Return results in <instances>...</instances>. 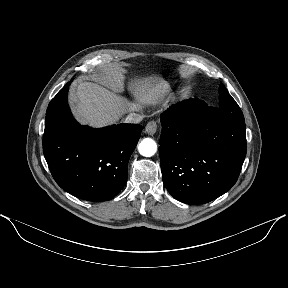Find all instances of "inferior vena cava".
<instances>
[{
  "instance_id": "602c4592",
  "label": "inferior vena cava",
  "mask_w": 288,
  "mask_h": 288,
  "mask_svg": "<svg viewBox=\"0 0 288 288\" xmlns=\"http://www.w3.org/2000/svg\"><path fill=\"white\" fill-rule=\"evenodd\" d=\"M141 121L142 116L136 113L129 114L124 120L125 123H139Z\"/></svg>"
}]
</instances>
